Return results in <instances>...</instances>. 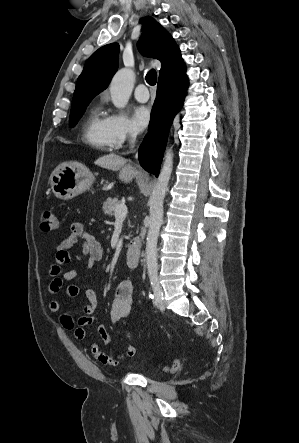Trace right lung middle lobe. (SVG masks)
Instances as JSON below:
<instances>
[{
    "label": "right lung middle lobe",
    "instance_id": "1",
    "mask_svg": "<svg viewBox=\"0 0 299 443\" xmlns=\"http://www.w3.org/2000/svg\"><path fill=\"white\" fill-rule=\"evenodd\" d=\"M90 103V101L79 104L77 106H74L71 108V113H70V126L74 127L77 123V121L80 119V117L82 116V113L85 111L86 106Z\"/></svg>",
    "mask_w": 299,
    "mask_h": 443
}]
</instances>
